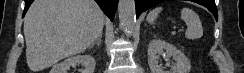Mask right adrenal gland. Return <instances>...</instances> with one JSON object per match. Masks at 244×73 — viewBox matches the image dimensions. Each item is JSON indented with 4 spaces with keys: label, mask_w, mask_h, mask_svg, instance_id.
<instances>
[{
    "label": "right adrenal gland",
    "mask_w": 244,
    "mask_h": 73,
    "mask_svg": "<svg viewBox=\"0 0 244 73\" xmlns=\"http://www.w3.org/2000/svg\"><path fill=\"white\" fill-rule=\"evenodd\" d=\"M101 39H102V34L99 35V37L90 45L89 49H91L92 47H94L95 44L97 46H99L101 44Z\"/></svg>",
    "instance_id": "right-adrenal-gland-1"
}]
</instances>
